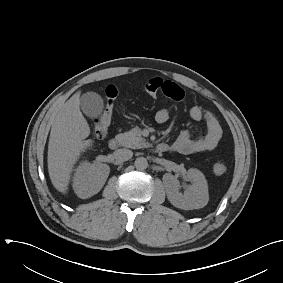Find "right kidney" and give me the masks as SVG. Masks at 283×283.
Masks as SVG:
<instances>
[{"instance_id": "obj_1", "label": "right kidney", "mask_w": 283, "mask_h": 283, "mask_svg": "<svg viewBox=\"0 0 283 283\" xmlns=\"http://www.w3.org/2000/svg\"><path fill=\"white\" fill-rule=\"evenodd\" d=\"M109 171L110 168L106 164L81 162L73 177L74 192L81 199L97 194L104 186Z\"/></svg>"}]
</instances>
